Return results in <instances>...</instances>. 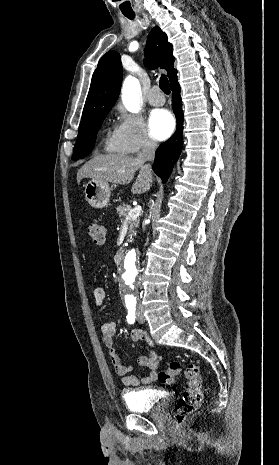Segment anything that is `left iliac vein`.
Masks as SVG:
<instances>
[{
    "instance_id": "4c4485c4",
    "label": "left iliac vein",
    "mask_w": 279,
    "mask_h": 465,
    "mask_svg": "<svg viewBox=\"0 0 279 465\" xmlns=\"http://www.w3.org/2000/svg\"><path fill=\"white\" fill-rule=\"evenodd\" d=\"M137 320L140 322V323H144L145 322V318L141 312L140 309H138L137 311Z\"/></svg>"
}]
</instances>
